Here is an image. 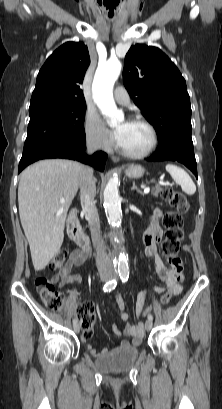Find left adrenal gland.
Instances as JSON below:
<instances>
[{"label":"left adrenal gland","instance_id":"1","mask_svg":"<svg viewBox=\"0 0 222 409\" xmlns=\"http://www.w3.org/2000/svg\"><path fill=\"white\" fill-rule=\"evenodd\" d=\"M131 190H136L139 194L144 195L143 192L136 186L135 182H133Z\"/></svg>","mask_w":222,"mask_h":409}]
</instances>
